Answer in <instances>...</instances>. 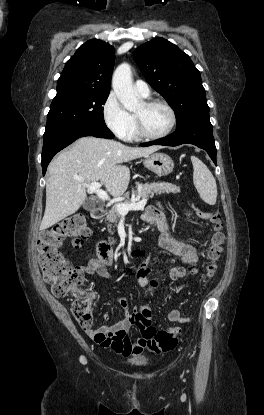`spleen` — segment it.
Here are the masks:
<instances>
[{"instance_id": "obj_1", "label": "spleen", "mask_w": 264, "mask_h": 415, "mask_svg": "<svg viewBox=\"0 0 264 415\" xmlns=\"http://www.w3.org/2000/svg\"><path fill=\"white\" fill-rule=\"evenodd\" d=\"M193 164V183L207 204L215 205L217 199V185L208 167L197 157L191 156Z\"/></svg>"}]
</instances>
